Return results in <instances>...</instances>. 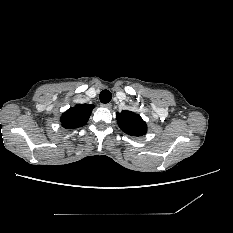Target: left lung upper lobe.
Listing matches in <instances>:
<instances>
[{
    "label": "left lung upper lobe",
    "mask_w": 233,
    "mask_h": 233,
    "mask_svg": "<svg viewBox=\"0 0 233 233\" xmlns=\"http://www.w3.org/2000/svg\"><path fill=\"white\" fill-rule=\"evenodd\" d=\"M116 116L118 126L124 133L136 137L146 134L147 126L140 115L123 110L118 112Z\"/></svg>",
    "instance_id": "obj_1"
}]
</instances>
